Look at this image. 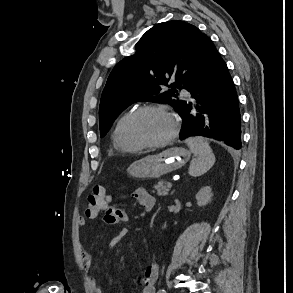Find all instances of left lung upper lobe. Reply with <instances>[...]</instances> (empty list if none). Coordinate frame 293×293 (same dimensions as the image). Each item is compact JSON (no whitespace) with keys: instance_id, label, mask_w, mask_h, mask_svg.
I'll use <instances>...</instances> for the list:
<instances>
[{"instance_id":"5c2ea615","label":"left lung upper lobe","mask_w":293,"mask_h":293,"mask_svg":"<svg viewBox=\"0 0 293 293\" xmlns=\"http://www.w3.org/2000/svg\"><path fill=\"white\" fill-rule=\"evenodd\" d=\"M210 43L206 34L183 21L149 29L136 44L135 54L120 61L108 77L99 108L100 135H106L117 116L135 102L165 103L179 111V90L198 83Z\"/></svg>"}]
</instances>
